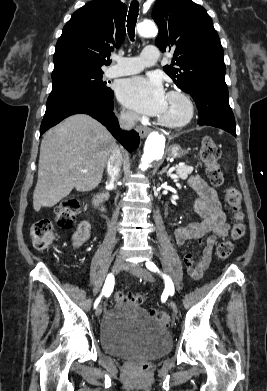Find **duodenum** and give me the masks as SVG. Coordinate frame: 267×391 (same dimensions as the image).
<instances>
[{
    "label": "duodenum",
    "instance_id": "1",
    "mask_svg": "<svg viewBox=\"0 0 267 391\" xmlns=\"http://www.w3.org/2000/svg\"><path fill=\"white\" fill-rule=\"evenodd\" d=\"M107 195L104 192H100L96 194L93 198V206L95 209H97L100 212H105V201H106Z\"/></svg>",
    "mask_w": 267,
    "mask_h": 391
}]
</instances>
